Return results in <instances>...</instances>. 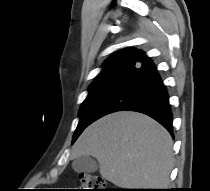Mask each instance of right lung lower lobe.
Here are the masks:
<instances>
[{
    "label": "right lung lower lobe",
    "instance_id": "1",
    "mask_svg": "<svg viewBox=\"0 0 210 191\" xmlns=\"http://www.w3.org/2000/svg\"><path fill=\"white\" fill-rule=\"evenodd\" d=\"M116 111L144 113L158 121L173 135V116L167 88L155 65L140 51L130 59L123 73L98 107L94 119L97 120Z\"/></svg>",
    "mask_w": 210,
    "mask_h": 191
}]
</instances>
